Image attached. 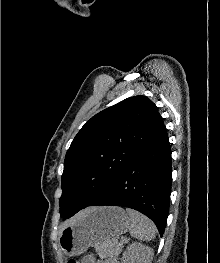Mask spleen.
Returning <instances> with one entry per match:
<instances>
[{
	"instance_id": "obj_1",
	"label": "spleen",
	"mask_w": 220,
	"mask_h": 263,
	"mask_svg": "<svg viewBox=\"0 0 220 263\" xmlns=\"http://www.w3.org/2000/svg\"><path fill=\"white\" fill-rule=\"evenodd\" d=\"M126 211L131 220L129 232L132 237L146 242L155 238L156 227L151 220L130 208Z\"/></svg>"
}]
</instances>
